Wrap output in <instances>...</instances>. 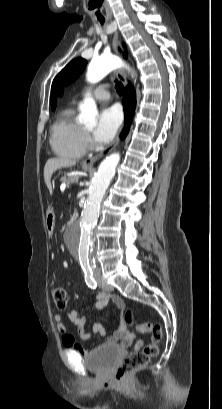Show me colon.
I'll return each mask as SVG.
<instances>
[{
	"mask_svg": "<svg viewBox=\"0 0 222 409\" xmlns=\"http://www.w3.org/2000/svg\"><path fill=\"white\" fill-rule=\"evenodd\" d=\"M52 298L56 307L64 310L67 307L69 295L65 288L54 285L51 289ZM126 323H132V312L127 310L124 315ZM137 330L142 333L152 332L151 342L146 344L142 350L128 355L117 367L115 380L119 383L127 381L128 376L148 364L150 359L158 354V343L163 336L162 327L159 324L142 323L137 325ZM68 339L65 335L63 341Z\"/></svg>",
	"mask_w": 222,
	"mask_h": 409,
	"instance_id": "5ec220e1",
	"label": "colon"
}]
</instances>
